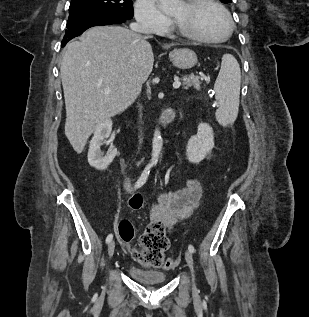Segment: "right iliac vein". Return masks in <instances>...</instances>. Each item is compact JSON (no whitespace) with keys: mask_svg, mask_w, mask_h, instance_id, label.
<instances>
[{"mask_svg":"<svg viewBox=\"0 0 309 317\" xmlns=\"http://www.w3.org/2000/svg\"><path fill=\"white\" fill-rule=\"evenodd\" d=\"M114 250H115V242L111 241L108 245V256L109 258H111L114 254Z\"/></svg>","mask_w":309,"mask_h":317,"instance_id":"right-iliac-vein-1","label":"right iliac vein"}]
</instances>
